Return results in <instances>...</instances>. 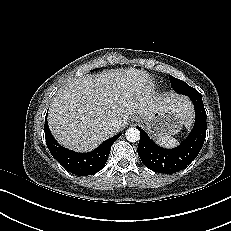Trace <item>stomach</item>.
<instances>
[{"instance_id": "obj_1", "label": "stomach", "mask_w": 231, "mask_h": 231, "mask_svg": "<svg viewBox=\"0 0 231 231\" xmlns=\"http://www.w3.org/2000/svg\"><path fill=\"white\" fill-rule=\"evenodd\" d=\"M142 120L149 134L154 138L174 135L182 127L181 116L173 107H167L150 116H142Z\"/></svg>"}]
</instances>
